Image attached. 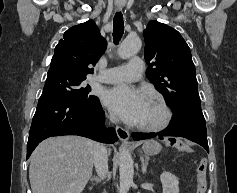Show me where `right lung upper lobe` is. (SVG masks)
<instances>
[{
    "mask_svg": "<svg viewBox=\"0 0 237 193\" xmlns=\"http://www.w3.org/2000/svg\"><path fill=\"white\" fill-rule=\"evenodd\" d=\"M106 46V40L93 20L73 26L55 47L48 72L86 78L93 72L88 66L95 65Z\"/></svg>",
    "mask_w": 237,
    "mask_h": 193,
    "instance_id": "cb5924a9",
    "label": "right lung upper lobe"
}]
</instances>
